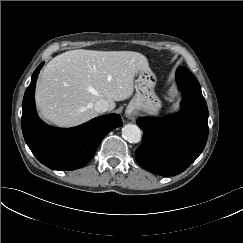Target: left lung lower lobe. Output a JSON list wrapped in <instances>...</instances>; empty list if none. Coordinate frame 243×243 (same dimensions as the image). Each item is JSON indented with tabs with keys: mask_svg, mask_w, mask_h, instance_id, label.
<instances>
[{
	"mask_svg": "<svg viewBox=\"0 0 243 243\" xmlns=\"http://www.w3.org/2000/svg\"><path fill=\"white\" fill-rule=\"evenodd\" d=\"M176 79L183 94L182 110L170 118H140L144 138L137 162L147 171L172 176L183 172L203 151L208 137V109L194 76L179 66Z\"/></svg>",
	"mask_w": 243,
	"mask_h": 243,
	"instance_id": "left-lung-lower-lobe-1",
	"label": "left lung lower lobe"
}]
</instances>
